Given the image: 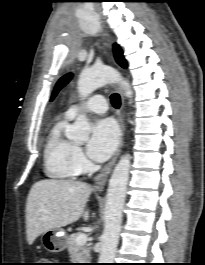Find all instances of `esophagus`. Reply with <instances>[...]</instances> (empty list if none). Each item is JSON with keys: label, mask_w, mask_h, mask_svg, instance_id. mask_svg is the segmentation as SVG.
Wrapping results in <instances>:
<instances>
[{"label": "esophagus", "mask_w": 205, "mask_h": 265, "mask_svg": "<svg viewBox=\"0 0 205 265\" xmlns=\"http://www.w3.org/2000/svg\"><path fill=\"white\" fill-rule=\"evenodd\" d=\"M111 39L109 37V35L107 34V46L111 47ZM118 92L120 94V99H121V106H120V110L118 112V122L120 125V129H121V138H120V144L118 149L116 150L113 158L105 165V167L101 170V172L95 177V190L96 191H103L108 177L120 155L121 149L123 147V137H124V131H125V126H124V119H123V108H124V94L122 91V88L120 85L117 86Z\"/></svg>", "instance_id": "1"}]
</instances>
